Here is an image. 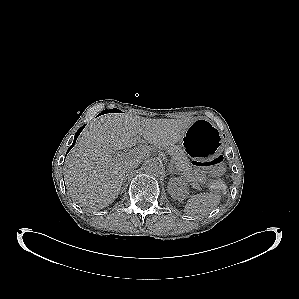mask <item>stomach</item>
Wrapping results in <instances>:
<instances>
[{
    "label": "stomach",
    "instance_id": "obj_1",
    "mask_svg": "<svg viewBox=\"0 0 299 299\" xmlns=\"http://www.w3.org/2000/svg\"><path fill=\"white\" fill-rule=\"evenodd\" d=\"M187 154L195 160H208L219 151L221 135L215 125L207 118L192 122L183 136Z\"/></svg>",
    "mask_w": 299,
    "mask_h": 299
}]
</instances>
